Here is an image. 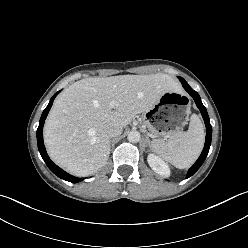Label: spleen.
Here are the masks:
<instances>
[{
  "mask_svg": "<svg viewBox=\"0 0 248 248\" xmlns=\"http://www.w3.org/2000/svg\"><path fill=\"white\" fill-rule=\"evenodd\" d=\"M205 140L204 127L196 114L190 118L188 131L172 134L168 140L153 142V150L179 169L190 167L199 157Z\"/></svg>",
  "mask_w": 248,
  "mask_h": 248,
  "instance_id": "1",
  "label": "spleen"
}]
</instances>
